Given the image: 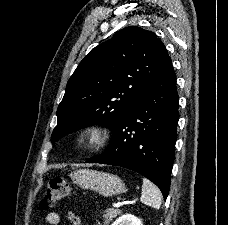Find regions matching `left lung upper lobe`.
I'll return each mask as SVG.
<instances>
[{
  "mask_svg": "<svg viewBox=\"0 0 228 225\" xmlns=\"http://www.w3.org/2000/svg\"><path fill=\"white\" fill-rule=\"evenodd\" d=\"M170 60L153 32L137 26L118 31L92 49L69 79L52 141L93 124L112 131Z\"/></svg>",
  "mask_w": 228,
  "mask_h": 225,
  "instance_id": "1",
  "label": "left lung upper lobe"
}]
</instances>
